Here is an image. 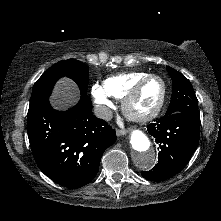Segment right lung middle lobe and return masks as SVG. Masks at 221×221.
I'll use <instances>...</instances> for the list:
<instances>
[{"mask_svg":"<svg viewBox=\"0 0 221 221\" xmlns=\"http://www.w3.org/2000/svg\"><path fill=\"white\" fill-rule=\"evenodd\" d=\"M64 76L73 79L78 84L80 91L87 93L88 66L75 59L60 61L51 66L36 81L30 99L28 116L32 115L44 101L48 100L55 82Z\"/></svg>","mask_w":221,"mask_h":221,"instance_id":"obj_1","label":"right lung middle lobe"}]
</instances>
